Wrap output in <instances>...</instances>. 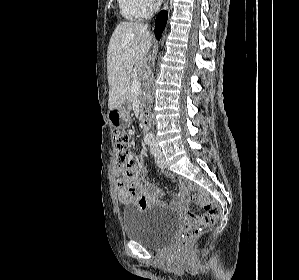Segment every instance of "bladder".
I'll use <instances>...</instances> for the list:
<instances>
[{
	"mask_svg": "<svg viewBox=\"0 0 299 280\" xmlns=\"http://www.w3.org/2000/svg\"><path fill=\"white\" fill-rule=\"evenodd\" d=\"M177 226L176 214L161 206L127 210L123 215L126 238L153 249L167 246Z\"/></svg>",
	"mask_w": 299,
	"mask_h": 280,
	"instance_id": "31cf9c89",
	"label": "bladder"
}]
</instances>
